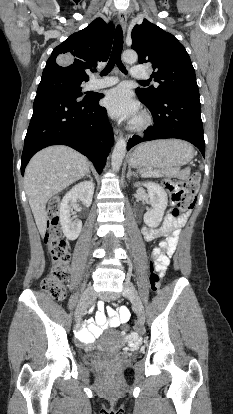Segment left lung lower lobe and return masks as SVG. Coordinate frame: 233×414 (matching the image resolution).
<instances>
[{
  "mask_svg": "<svg viewBox=\"0 0 233 414\" xmlns=\"http://www.w3.org/2000/svg\"><path fill=\"white\" fill-rule=\"evenodd\" d=\"M136 93L151 111L154 125L148 127L144 135L130 138L127 150L144 141L177 138L192 143L205 156L198 91L169 94L154 105L147 103L137 91Z\"/></svg>",
  "mask_w": 233,
  "mask_h": 414,
  "instance_id": "left-lung-lower-lobe-1",
  "label": "left lung lower lobe"
}]
</instances>
